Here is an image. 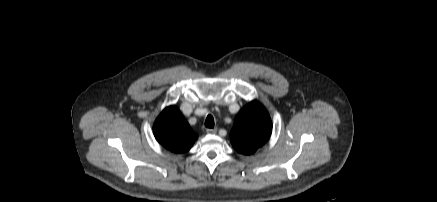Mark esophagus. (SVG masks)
<instances>
[{"mask_svg":"<svg viewBox=\"0 0 437 202\" xmlns=\"http://www.w3.org/2000/svg\"><path fill=\"white\" fill-rule=\"evenodd\" d=\"M206 132H207L208 134H215V133H217V128H208V129L206 130Z\"/></svg>","mask_w":437,"mask_h":202,"instance_id":"1","label":"esophagus"}]
</instances>
